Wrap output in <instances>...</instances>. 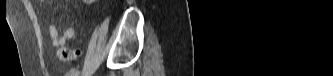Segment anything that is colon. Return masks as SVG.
I'll return each mask as SVG.
<instances>
[{"label":"colon","mask_w":333,"mask_h":76,"mask_svg":"<svg viewBox=\"0 0 333 76\" xmlns=\"http://www.w3.org/2000/svg\"><path fill=\"white\" fill-rule=\"evenodd\" d=\"M78 52H74L68 48H60L58 50V57L61 61L69 62L74 59Z\"/></svg>","instance_id":"obj_1"}]
</instances>
